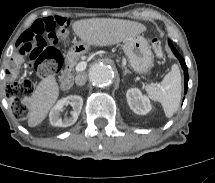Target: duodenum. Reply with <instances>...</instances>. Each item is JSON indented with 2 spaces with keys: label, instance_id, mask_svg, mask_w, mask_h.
<instances>
[{
  "label": "duodenum",
  "instance_id": "410a0bca",
  "mask_svg": "<svg viewBox=\"0 0 215 183\" xmlns=\"http://www.w3.org/2000/svg\"><path fill=\"white\" fill-rule=\"evenodd\" d=\"M71 64L67 63L65 68L60 74V87L62 90L67 91L71 89L73 85V79L70 73Z\"/></svg>",
  "mask_w": 215,
  "mask_h": 183
}]
</instances>
